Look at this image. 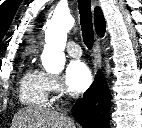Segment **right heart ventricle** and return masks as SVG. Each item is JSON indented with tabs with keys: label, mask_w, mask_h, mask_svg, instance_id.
Masks as SVG:
<instances>
[{
	"label": "right heart ventricle",
	"mask_w": 142,
	"mask_h": 128,
	"mask_svg": "<svg viewBox=\"0 0 142 128\" xmlns=\"http://www.w3.org/2000/svg\"><path fill=\"white\" fill-rule=\"evenodd\" d=\"M48 94L44 73L34 67H29L20 81L21 101L29 106H45L48 103Z\"/></svg>",
	"instance_id": "1"
}]
</instances>
